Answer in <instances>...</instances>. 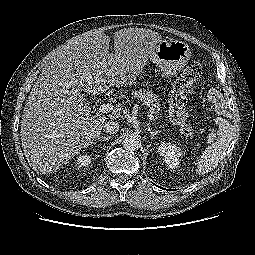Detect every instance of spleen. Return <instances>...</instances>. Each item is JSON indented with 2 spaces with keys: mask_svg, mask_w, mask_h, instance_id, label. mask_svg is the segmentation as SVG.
<instances>
[{
  "mask_svg": "<svg viewBox=\"0 0 255 255\" xmlns=\"http://www.w3.org/2000/svg\"><path fill=\"white\" fill-rule=\"evenodd\" d=\"M217 138L199 156L196 173L206 174L214 170L223 159L233 138L231 123L223 118L218 119Z\"/></svg>",
  "mask_w": 255,
  "mask_h": 255,
  "instance_id": "spleen-1",
  "label": "spleen"
}]
</instances>
